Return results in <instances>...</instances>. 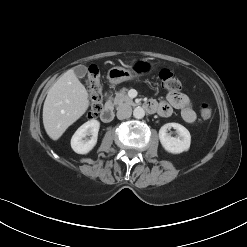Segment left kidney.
<instances>
[{
	"label": "left kidney",
	"instance_id": "obj_1",
	"mask_svg": "<svg viewBox=\"0 0 247 247\" xmlns=\"http://www.w3.org/2000/svg\"><path fill=\"white\" fill-rule=\"evenodd\" d=\"M173 127L178 133V137H172L167 133V129ZM159 139L163 148L172 154H179L188 151L191 143L189 131L178 123H167L159 130Z\"/></svg>",
	"mask_w": 247,
	"mask_h": 247
}]
</instances>
